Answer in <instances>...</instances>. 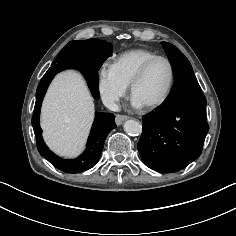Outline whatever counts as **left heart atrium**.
Masks as SVG:
<instances>
[{
	"label": "left heart atrium",
	"instance_id": "left-heart-atrium-1",
	"mask_svg": "<svg viewBox=\"0 0 236 236\" xmlns=\"http://www.w3.org/2000/svg\"><path fill=\"white\" fill-rule=\"evenodd\" d=\"M132 101H133L134 106H136V107L143 106L142 103L138 99H136L135 97H133Z\"/></svg>",
	"mask_w": 236,
	"mask_h": 236
}]
</instances>
